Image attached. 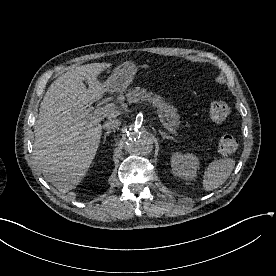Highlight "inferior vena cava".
I'll return each instance as SVG.
<instances>
[{"label": "inferior vena cava", "mask_w": 276, "mask_h": 276, "mask_svg": "<svg viewBox=\"0 0 276 276\" xmlns=\"http://www.w3.org/2000/svg\"><path fill=\"white\" fill-rule=\"evenodd\" d=\"M120 124L121 122L118 119H109L104 123L103 128L106 130L116 129Z\"/></svg>", "instance_id": "obj_1"}]
</instances>
